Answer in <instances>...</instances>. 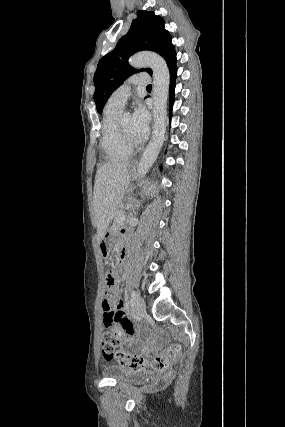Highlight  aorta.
<instances>
[{
  "instance_id": "762f6f07",
  "label": "aorta",
  "mask_w": 285,
  "mask_h": 427,
  "mask_svg": "<svg viewBox=\"0 0 285 427\" xmlns=\"http://www.w3.org/2000/svg\"><path fill=\"white\" fill-rule=\"evenodd\" d=\"M129 64L134 68L149 67L153 72L154 127L151 141L138 164V176L143 177L157 159L165 139L170 75L165 60L156 53H136L130 57Z\"/></svg>"
}]
</instances>
